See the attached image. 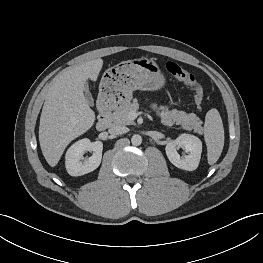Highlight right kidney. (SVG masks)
<instances>
[{
    "instance_id": "1",
    "label": "right kidney",
    "mask_w": 263,
    "mask_h": 263,
    "mask_svg": "<svg viewBox=\"0 0 263 263\" xmlns=\"http://www.w3.org/2000/svg\"><path fill=\"white\" fill-rule=\"evenodd\" d=\"M103 144L101 141L91 142L89 139H81L75 142L66 152L65 165L71 176H81L90 173L98 168L102 159ZM86 151L93 152V155L83 161V154Z\"/></svg>"
}]
</instances>
